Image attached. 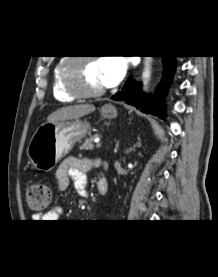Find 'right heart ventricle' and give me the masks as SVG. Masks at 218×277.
<instances>
[{
    "mask_svg": "<svg viewBox=\"0 0 218 277\" xmlns=\"http://www.w3.org/2000/svg\"><path fill=\"white\" fill-rule=\"evenodd\" d=\"M61 63H62L61 60L58 61L54 65V68L52 71V94L57 101L64 102V103L72 102L75 100V97L66 93L62 88L60 73H59V67Z\"/></svg>",
    "mask_w": 218,
    "mask_h": 277,
    "instance_id": "1",
    "label": "right heart ventricle"
}]
</instances>
